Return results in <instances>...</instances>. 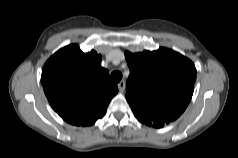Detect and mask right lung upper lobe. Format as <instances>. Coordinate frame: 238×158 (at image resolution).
<instances>
[{"label":"right lung upper lobe","mask_w":238,"mask_h":158,"mask_svg":"<svg viewBox=\"0 0 238 158\" xmlns=\"http://www.w3.org/2000/svg\"><path fill=\"white\" fill-rule=\"evenodd\" d=\"M100 63L101 55L94 50L83 53L77 44L60 49L45 63L41 75L45 95L66 122L89 126L105 115L118 91Z\"/></svg>","instance_id":"cb5924a9"}]
</instances>
